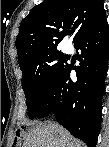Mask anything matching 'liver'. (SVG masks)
<instances>
[{"mask_svg":"<svg viewBox=\"0 0 109 147\" xmlns=\"http://www.w3.org/2000/svg\"><path fill=\"white\" fill-rule=\"evenodd\" d=\"M22 147H82L65 128L51 121L31 123Z\"/></svg>","mask_w":109,"mask_h":147,"instance_id":"obj_1","label":"liver"}]
</instances>
